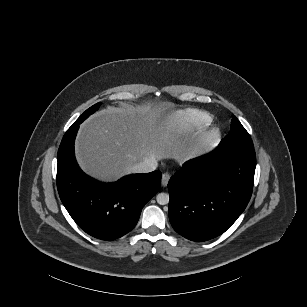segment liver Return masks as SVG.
Here are the masks:
<instances>
[{
	"mask_svg": "<svg viewBox=\"0 0 307 307\" xmlns=\"http://www.w3.org/2000/svg\"><path fill=\"white\" fill-rule=\"evenodd\" d=\"M177 104L151 99L117 101L99 109L79 127L74 153L79 169L100 183L130 175L147 158L182 164L194 156L196 137L172 127Z\"/></svg>",
	"mask_w": 307,
	"mask_h": 307,
	"instance_id": "liver-1",
	"label": "liver"
}]
</instances>
